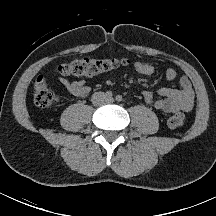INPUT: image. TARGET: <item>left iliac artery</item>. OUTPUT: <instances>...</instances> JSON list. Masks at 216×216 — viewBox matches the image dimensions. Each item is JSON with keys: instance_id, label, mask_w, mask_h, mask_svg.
Masks as SVG:
<instances>
[{"instance_id": "obj_1", "label": "left iliac artery", "mask_w": 216, "mask_h": 216, "mask_svg": "<svg viewBox=\"0 0 216 216\" xmlns=\"http://www.w3.org/2000/svg\"><path fill=\"white\" fill-rule=\"evenodd\" d=\"M122 99H123V98H122V96H121V95H117V96H116V101H117V102H121V101H122Z\"/></svg>"}]
</instances>
